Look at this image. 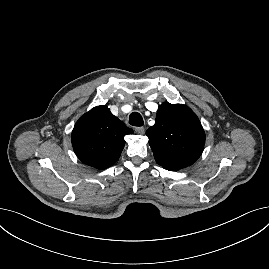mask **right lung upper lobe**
Masks as SVG:
<instances>
[{
	"label": "right lung upper lobe",
	"instance_id": "right-lung-upper-lobe-1",
	"mask_svg": "<svg viewBox=\"0 0 269 269\" xmlns=\"http://www.w3.org/2000/svg\"><path fill=\"white\" fill-rule=\"evenodd\" d=\"M133 130L114 116L110 109L97 106L84 114L72 131V145L77 157L97 169L112 166L125 145L124 136Z\"/></svg>",
	"mask_w": 269,
	"mask_h": 269
}]
</instances>
